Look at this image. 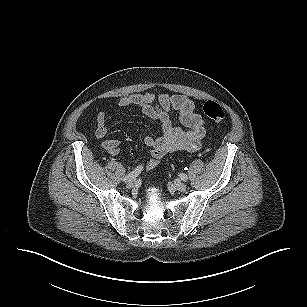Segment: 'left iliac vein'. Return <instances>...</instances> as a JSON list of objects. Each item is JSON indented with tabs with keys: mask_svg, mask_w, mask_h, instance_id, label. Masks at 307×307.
Returning a JSON list of instances; mask_svg holds the SVG:
<instances>
[{
	"mask_svg": "<svg viewBox=\"0 0 307 307\" xmlns=\"http://www.w3.org/2000/svg\"><path fill=\"white\" fill-rule=\"evenodd\" d=\"M169 188L171 190L184 192L186 190V185L181 181H174L173 183H169Z\"/></svg>",
	"mask_w": 307,
	"mask_h": 307,
	"instance_id": "left-iliac-vein-1",
	"label": "left iliac vein"
}]
</instances>
